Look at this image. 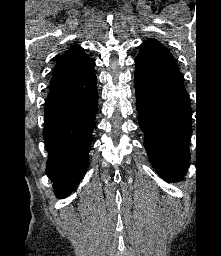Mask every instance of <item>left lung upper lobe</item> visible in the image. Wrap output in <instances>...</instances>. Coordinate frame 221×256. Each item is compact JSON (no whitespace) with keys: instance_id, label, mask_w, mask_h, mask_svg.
<instances>
[{"instance_id":"1","label":"left lung upper lobe","mask_w":221,"mask_h":256,"mask_svg":"<svg viewBox=\"0 0 221 256\" xmlns=\"http://www.w3.org/2000/svg\"><path fill=\"white\" fill-rule=\"evenodd\" d=\"M135 65L136 70L141 71H178L169 50L155 39H149L141 45Z\"/></svg>"}]
</instances>
